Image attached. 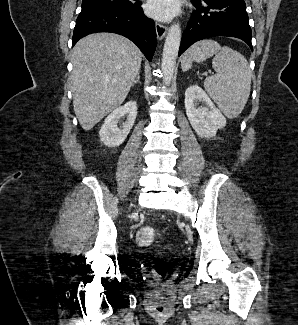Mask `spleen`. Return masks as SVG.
I'll return each instance as SVG.
<instances>
[{"label":"spleen","instance_id":"obj_1","mask_svg":"<svg viewBox=\"0 0 298 325\" xmlns=\"http://www.w3.org/2000/svg\"><path fill=\"white\" fill-rule=\"evenodd\" d=\"M215 54V56H214ZM214 56V76L204 80V88L227 118L241 114L251 90V70L247 58L217 40H198L186 50L182 70H189L193 60L203 62Z\"/></svg>","mask_w":298,"mask_h":325}]
</instances>
